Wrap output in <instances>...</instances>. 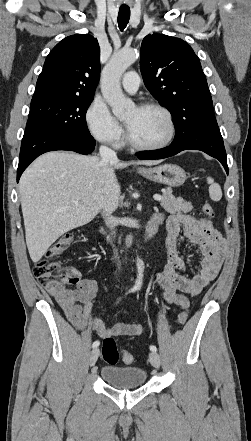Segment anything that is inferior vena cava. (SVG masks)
<instances>
[{"label": "inferior vena cava", "mask_w": 251, "mask_h": 441, "mask_svg": "<svg viewBox=\"0 0 251 441\" xmlns=\"http://www.w3.org/2000/svg\"><path fill=\"white\" fill-rule=\"evenodd\" d=\"M99 154L104 161L117 162L118 158L116 152L106 146H100ZM104 220L107 227L111 230V234H115V227L117 226V220L112 216V211H104Z\"/></svg>", "instance_id": "obj_1"}]
</instances>
